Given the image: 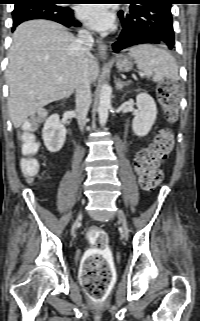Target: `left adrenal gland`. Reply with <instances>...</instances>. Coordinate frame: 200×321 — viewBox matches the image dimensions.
<instances>
[{
	"instance_id": "1",
	"label": "left adrenal gland",
	"mask_w": 200,
	"mask_h": 321,
	"mask_svg": "<svg viewBox=\"0 0 200 321\" xmlns=\"http://www.w3.org/2000/svg\"><path fill=\"white\" fill-rule=\"evenodd\" d=\"M115 86L117 90H121L123 87L128 86L127 82H123L120 79H116Z\"/></svg>"
}]
</instances>
